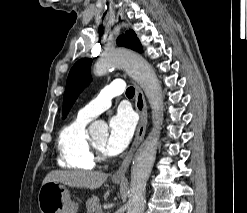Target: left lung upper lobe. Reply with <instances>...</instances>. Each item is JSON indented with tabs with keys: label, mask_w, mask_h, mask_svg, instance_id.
I'll list each match as a JSON object with an SVG mask.
<instances>
[{
	"label": "left lung upper lobe",
	"mask_w": 247,
	"mask_h": 213,
	"mask_svg": "<svg viewBox=\"0 0 247 213\" xmlns=\"http://www.w3.org/2000/svg\"><path fill=\"white\" fill-rule=\"evenodd\" d=\"M119 46H125L133 50L142 51L139 40L132 30L126 31L117 39ZM92 59L84 58L75 63L68 75L66 89L63 98V118H65L78 95L90 83V68Z\"/></svg>",
	"instance_id": "5c2ea615"
}]
</instances>
